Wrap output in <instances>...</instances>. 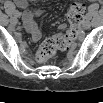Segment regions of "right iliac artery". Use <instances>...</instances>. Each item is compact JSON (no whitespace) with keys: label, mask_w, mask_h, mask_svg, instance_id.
Returning a JSON list of instances; mask_svg holds the SVG:
<instances>
[{"label":"right iliac artery","mask_w":103,"mask_h":103,"mask_svg":"<svg viewBox=\"0 0 103 103\" xmlns=\"http://www.w3.org/2000/svg\"><path fill=\"white\" fill-rule=\"evenodd\" d=\"M13 15H14L15 17H19V16H20V13H19V11L14 10V11H13Z\"/></svg>","instance_id":"1"}]
</instances>
